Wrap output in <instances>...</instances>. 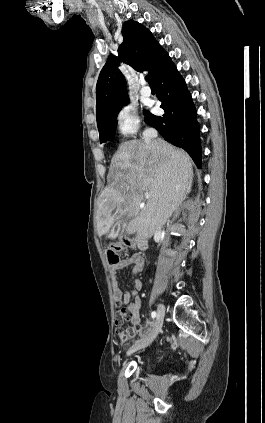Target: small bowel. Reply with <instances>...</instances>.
<instances>
[{
	"label": "small bowel",
	"mask_w": 265,
	"mask_h": 423,
	"mask_svg": "<svg viewBox=\"0 0 265 423\" xmlns=\"http://www.w3.org/2000/svg\"><path fill=\"white\" fill-rule=\"evenodd\" d=\"M132 267V273L136 274L141 271L143 267V258L139 254H132L127 258L123 259L116 265H112L109 268V274L112 282L113 294L116 301L126 305V312L129 314L130 322L133 326L124 336H120L122 341H126L136 334H142L144 331L141 327V299L139 292L142 288L140 280L135 279L132 283V287L122 293L119 287L117 273L126 267Z\"/></svg>",
	"instance_id": "1"
}]
</instances>
